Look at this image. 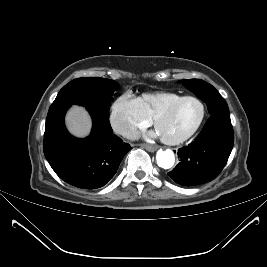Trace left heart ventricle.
<instances>
[{
    "label": "left heart ventricle",
    "mask_w": 267,
    "mask_h": 267,
    "mask_svg": "<svg viewBox=\"0 0 267 267\" xmlns=\"http://www.w3.org/2000/svg\"><path fill=\"white\" fill-rule=\"evenodd\" d=\"M200 114L201 106L197 101H185L170 114L161 118L156 130L162 137H180L186 134L196 124Z\"/></svg>",
    "instance_id": "b2bd125f"
}]
</instances>
